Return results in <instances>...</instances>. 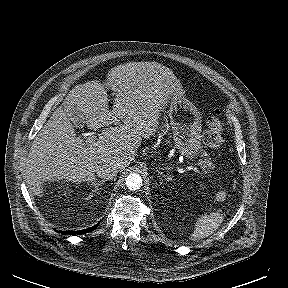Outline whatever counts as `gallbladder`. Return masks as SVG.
Returning a JSON list of instances; mask_svg holds the SVG:
<instances>
[{
  "instance_id": "bac80fb5",
  "label": "gallbladder",
  "mask_w": 288,
  "mask_h": 288,
  "mask_svg": "<svg viewBox=\"0 0 288 288\" xmlns=\"http://www.w3.org/2000/svg\"><path fill=\"white\" fill-rule=\"evenodd\" d=\"M69 113H70L69 118H70V120L72 121V123H73V125H74L75 127H81V126H83V124H84V117H83V115H82L80 112H78V111H71V112H69Z\"/></svg>"
}]
</instances>
